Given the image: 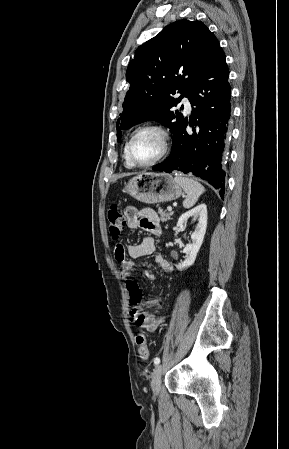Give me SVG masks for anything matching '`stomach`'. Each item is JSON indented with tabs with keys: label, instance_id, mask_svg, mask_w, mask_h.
<instances>
[{
	"label": "stomach",
	"instance_id": "stomach-1",
	"mask_svg": "<svg viewBox=\"0 0 289 449\" xmlns=\"http://www.w3.org/2000/svg\"><path fill=\"white\" fill-rule=\"evenodd\" d=\"M123 191L140 202L155 204L179 198L182 187L170 174L144 172L131 178Z\"/></svg>",
	"mask_w": 289,
	"mask_h": 449
}]
</instances>
